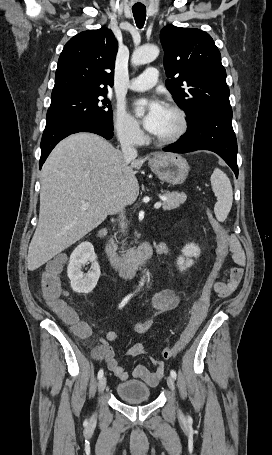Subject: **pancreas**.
I'll use <instances>...</instances> for the list:
<instances>
[{
    "mask_svg": "<svg viewBox=\"0 0 272 455\" xmlns=\"http://www.w3.org/2000/svg\"><path fill=\"white\" fill-rule=\"evenodd\" d=\"M164 196L166 197V200L163 201L162 204L164 210H172L178 208L181 204H183L186 201V195L184 193L166 192ZM110 247L113 249V251L117 250V245L114 243L113 240H111L110 242Z\"/></svg>",
    "mask_w": 272,
    "mask_h": 455,
    "instance_id": "1",
    "label": "pancreas"
}]
</instances>
